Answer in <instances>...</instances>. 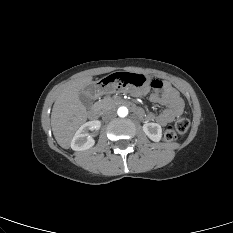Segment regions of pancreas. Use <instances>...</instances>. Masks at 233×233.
I'll use <instances>...</instances> for the list:
<instances>
[{"label": "pancreas", "mask_w": 233, "mask_h": 233, "mask_svg": "<svg viewBox=\"0 0 233 233\" xmlns=\"http://www.w3.org/2000/svg\"><path fill=\"white\" fill-rule=\"evenodd\" d=\"M96 104L102 110H107L116 106V100L111 97H106L102 100H99Z\"/></svg>", "instance_id": "obj_1"}]
</instances>
